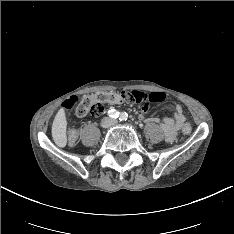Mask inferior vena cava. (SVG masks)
Listing matches in <instances>:
<instances>
[{
	"instance_id": "1",
	"label": "inferior vena cava",
	"mask_w": 234,
	"mask_h": 234,
	"mask_svg": "<svg viewBox=\"0 0 234 234\" xmlns=\"http://www.w3.org/2000/svg\"><path fill=\"white\" fill-rule=\"evenodd\" d=\"M115 123H116L115 120L110 119V118H106V119L102 122V126H103V127H109V126H111V125H113V124H115Z\"/></svg>"
}]
</instances>
